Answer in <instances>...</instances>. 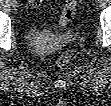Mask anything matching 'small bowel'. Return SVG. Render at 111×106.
<instances>
[{
  "label": "small bowel",
  "mask_w": 111,
  "mask_h": 106,
  "mask_svg": "<svg viewBox=\"0 0 111 106\" xmlns=\"http://www.w3.org/2000/svg\"><path fill=\"white\" fill-rule=\"evenodd\" d=\"M32 4H33V5H38V4H39V1L33 0V1H32Z\"/></svg>",
  "instance_id": "1"
}]
</instances>
